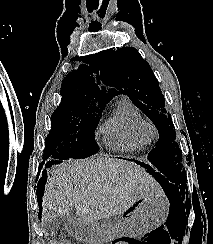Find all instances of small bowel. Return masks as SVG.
<instances>
[{
	"instance_id": "1",
	"label": "small bowel",
	"mask_w": 213,
	"mask_h": 244,
	"mask_svg": "<svg viewBox=\"0 0 213 244\" xmlns=\"http://www.w3.org/2000/svg\"><path fill=\"white\" fill-rule=\"evenodd\" d=\"M113 244H129L127 241L124 240H116L113 242Z\"/></svg>"
}]
</instances>
